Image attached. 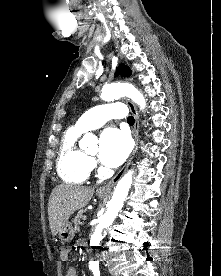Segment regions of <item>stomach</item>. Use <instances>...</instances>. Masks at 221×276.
Masks as SVG:
<instances>
[{"instance_id":"stomach-1","label":"stomach","mask_w":221,"mask_h":276,"mask_svg":"<svg viewBox=\"0 0 221 276\" xmlns=\"http://www.w3.org/2000/svg\"><path fill=\"white\" fill-rule=\"evenodd\" d=\"M99 198H105V195H99ZM75 235V231L70 222H66L59 231V239L62 242H70Z\"/></svg>"}]
</instances>
